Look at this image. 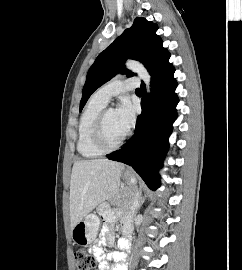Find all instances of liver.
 <instances>
[{
    "instance_id": "obj_1",
    "label": "liver",
    "mask_w": 242,
    "mask_h": 270,
    "mask_svg": "<svg viewBox=\"0 0 242 270\" xmlns=\"http://www.w3.org/2000/svg\"><path fill=\"white\" fill-rule=\"evenodd\" d=\"M124 164L107 159L74 163L70 181V220L73 228L100 203L119 193Z\"/></svg>"
}]
</instances>
